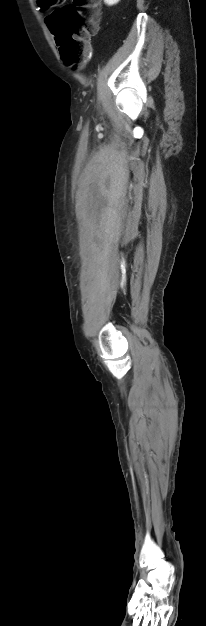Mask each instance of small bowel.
Wrapping results in <instances>:
<instances>
[{
    "instance_id": "1",
    "label": "small bowel",
    "mask_w": 206,
    "mask_h": 626,
    "mask_svg": "<svg viewBox=\"0 0 206 626\" xmlns=\"http://www.w3.org/2000/svg\"><path fill=\"white\" fill-rule=\"evenodd\" d=\"M39 3H40V1H39ZM40 5H41V4H40ZM41 6H42V5H41ZM46 23H47V25H48V27H49V22H48V18H47V20H46Z\"/></svg>"
}]
</instances>
